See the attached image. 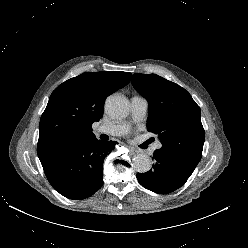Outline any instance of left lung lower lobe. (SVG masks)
<instances>
[{"instance_id":"left-lung-lower-lobe-1","label":"left lung lower lobe","mask_w":248,"mask_h":248,"mask_svg":"<svg viewBox=\"0 0 248 248\" xmlns=\"http://www.w3.org/2000/svg\"><path fill=\"white\" fill-rule=\"evenodd\" d=\"M153 156L156 160L153 169L146 173H137L139 183L148 190L158 194L171 193L183 186L192 174L157 151Z\"/></svg>"}]
</instances>
